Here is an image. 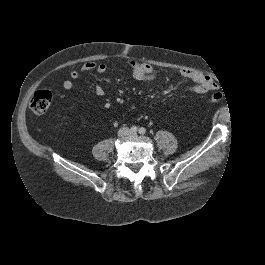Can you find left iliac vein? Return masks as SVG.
<instances>
[{
  "mask_svg": "<svg viewBox=\"0 0 265 265\" xmlns=\"http://www.w3.org/2000/svg\"><path fill=\"white\" fill-rule=\"evenodd\" d=\"M129 136H130V137H136V136H137V133H136V132H131V133L129 134Z\"/></svg>",
  "mask_w": 265,
  "mask_h": 265,
  "instance_id": "1",
  "label": "left iliac vein"
}]
</instances>
